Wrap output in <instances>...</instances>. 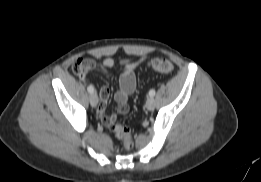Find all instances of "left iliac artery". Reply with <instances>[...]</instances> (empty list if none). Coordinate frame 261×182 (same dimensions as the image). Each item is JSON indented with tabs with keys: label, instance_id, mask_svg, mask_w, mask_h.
I'll list each match as a JSON object with an SVG mask.
<instances>
[{
	"label": "left iliac artery",
	"instance_id": "obj_1",
	"mask_svg": "<svg viewBox=\"0 0 261 182\" xmlns=\"http://www.w3.org/2000/svg\"><path fill=\"white\" fill-rule=\"evenodd\" d=\"M155 95V90L154 89H151L150 91H149V96L150 97H153Z\"/></svg>",
	"mask_w": 261,
	"mask_h": 182
}]
</instances>
